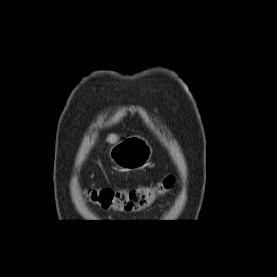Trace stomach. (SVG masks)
<instances>
[{
    "label": "stomach",
    "instance_id": "0dacf381",
    "mask_svg": "<svg viewBox=\"0 0 277 277\" xmlns=\"http://www.w3.org/2000/svg\"><path fill=\"white\" fill-rule=\"evenodd\" d=\"M153 150L148 141L138 135L130 136L111 148L112 162L122 170L135 171L144 168Z\"/></svg>",
    "mask_w": 277,
    "mask_h": 277
}]
</instances>
